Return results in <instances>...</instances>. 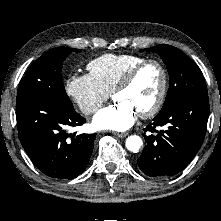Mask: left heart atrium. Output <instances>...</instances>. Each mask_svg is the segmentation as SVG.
<instances>
[{
    "label": "left heart atrium",
    "mask_w": 221,
    "mask_h": 221,
    "mask_svg": "<svg viewBox=\"0 0 221 221\" xmlns=\"http://www.w3.org/2000/svg\"><path fill=\"white\" fill-rule=\"evenodd\" d=\"M137 113L126 102L116 101L114 104L101 109L93 118L97 129L124 131L135 122Z\"/></svg>",
    "instance_id": "left-heart-atrium-1"
}]
</instances>
